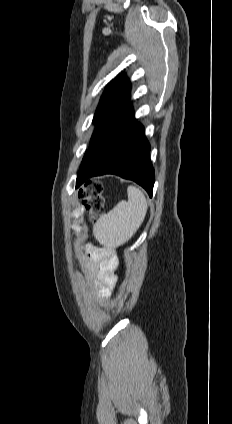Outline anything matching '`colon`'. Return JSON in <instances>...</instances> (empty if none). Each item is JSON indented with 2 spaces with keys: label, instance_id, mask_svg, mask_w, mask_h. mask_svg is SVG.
I'll use <instances>...</instances> for the list:
<instances>
[{
  "label": "colon",
  "instance_id": "5ec220e1",
  "mask_svg": "<svg viewBox=\"0 0 232 424\" xmlns=\"http://www.w3.org/2000/svg\"><path fill=\"white\" fill-rule=\"evenodd\" d=\"M86 211L92 220L97 219L104 211L103 185L98 181H90L79 193Z\"/></svg>",
  "mask_w": 232,
  "mask_h": 424
}]
</instances>
